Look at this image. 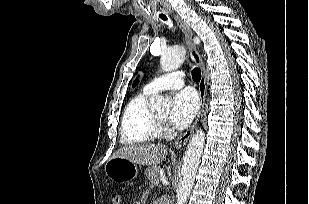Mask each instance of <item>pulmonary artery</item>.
<instances>
[{
    "label": "pulmonary artery",
    "mask_w": 309,
    "mask_h": 204,
    "mask_svg": "<svg viewBox=\"0 0 309 204\" xmlns=\"http://www.w3.org/2000/svg\"><path fill=\"white\" fill-rule=\"evenodd\" d=\"M184 85L183 75L181 73H170L154 78L148 82L144 91L154 94L167 89H179Z\"/></svg>",
    "instance_id": "obj_1"
}]
</instances>
